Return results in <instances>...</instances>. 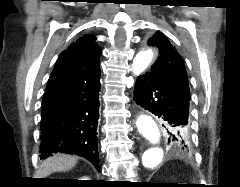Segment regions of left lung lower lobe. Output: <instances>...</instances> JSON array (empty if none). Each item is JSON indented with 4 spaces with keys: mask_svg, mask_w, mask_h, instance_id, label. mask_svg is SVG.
Returning a JSON list of instances; mask_svg holds the SVG:
<instances>
[{
    "mask_svg": "<svg viewBox=\"0 0 240 187\" xmlns=\"http://www.w3.org/2000/svg\"><path fill=\"white\" fill-rule=\"evenodd\" d=\"M134 100L139 106L164 121L162 125L166 129L171 147L189 150L190 140L177 130L189 127V92L167 84L149 71L138 77Z\"/></svg>",
    "mask_w": 240,
    "mask_h": 187,
    "instance_id": "left-lung-lower-lobe-1",
    "label": "left lung lower lobe"
}]
</instances>
